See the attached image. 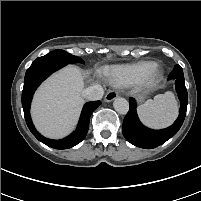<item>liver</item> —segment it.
<instances>
[{
    "label": "liver",
    "mask_w": 201,
    "mask_h": 201,
    "mask_svg": "<svg viewBox=\"0 0 201 201\" xmlns=\"http://www.w3.org/2000/svg\"><path fill=\"white\" fill-rule=\"evenodd\" d=\"M86 77L78 67L68 66L38 88L31 115L36 128L44 136L62 138L72 131L84 104Z\"/></svg>",
    "instance_id": "1"
}]
</instances>
